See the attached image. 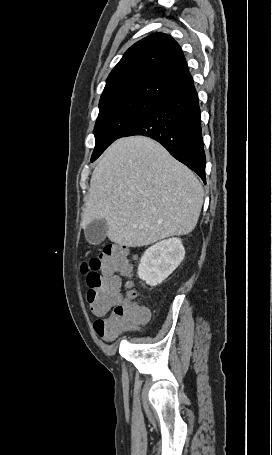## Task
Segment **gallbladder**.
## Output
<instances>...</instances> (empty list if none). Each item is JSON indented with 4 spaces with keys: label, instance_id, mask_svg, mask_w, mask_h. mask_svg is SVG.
I'll use <instances>...</instances> for the list:
<instances>
[{
    "label": "gallbladder",
    "instance_id": "bac80fb5",
    "mask_svg": "<svg viewBox=\"0 0 272 455\" xmlns=\"http://www.w3.org/2000/svg\"><path fill=\"white\" fill-rule=\"evenodd\" d=\"M108 225L105 220H93L84 230L86 240L93 245H98L106 238Z\"/></svg>",
    "mask_w": 272,
    "mask_h": 455
}]
</instances>
